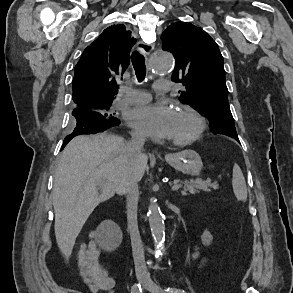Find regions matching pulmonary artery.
Instances as JSON below:
<instances>
[{
  "mask_svg": "<svg viewBox=\"0 0 293 293\" xmlns=\"http://www.w3.org/2000/svg\"><path fill=\"white\" fill-rule=\"evenodd\" d=\"M172 88L171 82L168 80H158L154 84V89L157 93L163 94L170 91ZM122 102L125 104H142L148 102L151 95L145 91L122 87L120 89Z\"/></svg>",
  "mask_w": 293,
  "mask_h": 293,
  "instance_id": "1",
  "label": "pulmonary artery"
}]
</instances>
